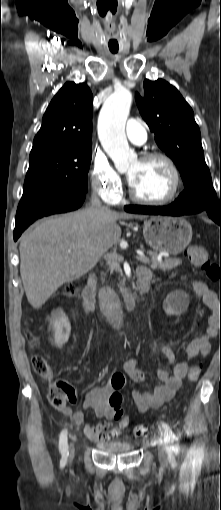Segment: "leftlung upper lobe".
Segmentation results:
<instances>
[{
  "instance_id": "left-lung-upper-lobe-1",
  "label": "left lung upper lobe",
  "mask_w": 221,
  "mask_h": 510,
  "mask_svg": "<svg viewBox=\"0 0 221 510\" xmlns=\"http://www.w3.org/2000/svg\"><path fill=\"white\" fill-rule=\"evenodd\" d=\"M144 98L136 94L143 119L158 146L178 167L185 190L172 203L177 208L221 211L203 156L201 135L194 113L178 90L158 79L144 81Z\"/></svg>"
}]
</instances>
